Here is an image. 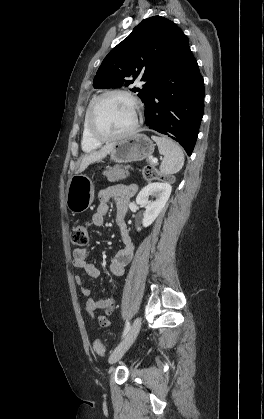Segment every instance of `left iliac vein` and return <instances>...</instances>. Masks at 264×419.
I'll return each mask as SVG.
<instances>
[{"instance_id": "1", "label": "left iliac vein", "mask_w": 264, "mask_h": 419, "mask_svg": "<svg viewBox=\"0 0 264 419\" xmlns=\"http://www.w3.org/2000/svg\"><path fill=\"white\" fill-rule=\"evenodd\" d=\"M141 328V318L137 317L129 329L127 335L125 338L121 341V343L113 350L109 357V363L113 364L117 362L121 357L124 355V353L130 348V346L135 341L139 331Z\"/></svg>"}]
</instances>
